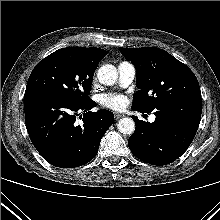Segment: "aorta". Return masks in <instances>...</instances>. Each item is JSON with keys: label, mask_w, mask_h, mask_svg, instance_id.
Listing matches in <instances>:
<instances>
[{"label": "aorta", "mask_w": 220, "mask_h": 220, "mask_svg": "<svg viewBox=\"0 0 220 220\" xmlns=\"http://www.w3.org/2000/svg\"><path fill=\"white\" fill-rule=\"evenodd\" d=\"M97 77L101 84L111 86L116 83L118 72L115 66L106 64L99 68ZM117 128L120 133L131 135L135 131V122L131 118H122L118 121Z\"/></svg>", "instance_id": "1"}]
</instances>
